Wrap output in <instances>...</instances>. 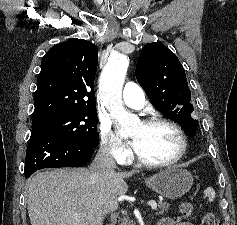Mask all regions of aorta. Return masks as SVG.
I'll list each match as a JSON object with an SVG mask.
<instances>
[{"mask_svg": "<svg viewBox=\"0 0 237 225\" xmlns=\"http://www.w3.org/2000/svg\"><path fill=\"white\" fill-rule=\"evenodd\" d=\"M129 66V59L123 54L110 56L100 78V99L112 118L119 125L121 135L130 133L139 123V118L127 112L122 105V88Z\"/></svg>", "mask_w": 237, "mask_h": 225, "instance_id": "obj_1", "label": "aorta"}]
</instances>
